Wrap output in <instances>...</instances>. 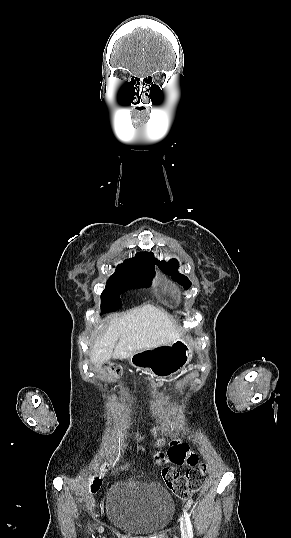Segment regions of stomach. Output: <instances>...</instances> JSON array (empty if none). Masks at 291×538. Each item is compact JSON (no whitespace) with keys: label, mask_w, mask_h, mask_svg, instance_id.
<instances>
[{"label":"stomach","mask_w":291,"mask_h":538,"mask_svg":"<svg viewBox=\"0 0 291 538\" xmlns=\"http://www.w3.org/2000/svg\"><path fill=\"white\" fill-rule=\"evenodd\" d=\"M191 357L187 340L179 337L168 345L136 351L129 357V362L136 368L149 369L160 379H167L183 369Z\"/></svg>","instance_id":"obj_1"}]
</instances>
